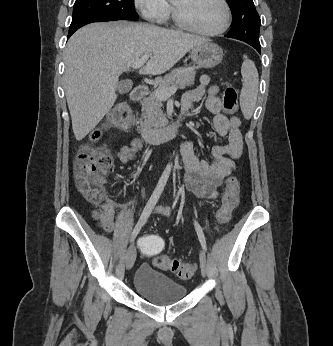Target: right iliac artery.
<instances>
[{"mask_svg": "<svg viewBox=\"0 0 333 346\" xmlns=\"http://www.w3.org/2000/svg\"><path fill=\"white\" fill-rule=\"evenodd\" d=\"M169 174H170V170L169 169H165L151 195V197L149 198L146 206L144 207V210L132 232V235H131V239L130 241H134V239L136 238V236L138 235V233L140 232L142 226L146 223L148 217L150 216L154 206L156 205L158 199L160 198L163 190H164V187L167 183V180H168V177H169Z\"/></svg>", "mask_w": 333, "mask_h": 346, "instance_id": "right-iliac-artery-1", "label": "right iliac artery"}]
</instances>
